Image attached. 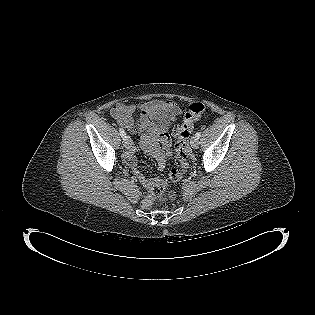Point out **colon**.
<instances>
[{
	"label": "colon",
	"instance_id": "obj_1",
	"mask_svg": "<svg viewBox=\"0 0 315 315\" xmlns=\"http://www.w3.org/2000/svg\"><path fill=\"white\" fill-rule=\"evenodd\" d=\"M206 107L201 102H193L190 104L187 113L184 116L182 125L178 128L176 136V163L179 169H172L167 177H163L150 185V195L145 201L144 206L148 208L155 198H161L165 187L169 181H179L188 167L187 161V140L194 129V124L200 119ZM137 131V130H136Z\"/></svg>",
	"mask_w": 315,
	"mask_h": 315
}]
</instances>
